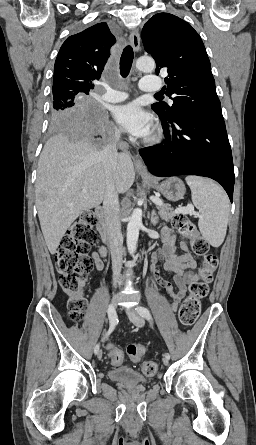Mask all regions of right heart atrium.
Returning a JSON list of instances; mask_svg holds the SVG:
<instances>
[{
    "mask_svg": "<svg viewBox=\"0 0 256 445\" xmlns=\"http://www.w3.org/2000/svg\"><path fill=\"white\" fill-rule=\"evenodd\" d=\"M113 133H114V135L119 136L120 135V130L117 127H114Z\"/></svg>",
    "mask_w": 256,
    "mask_h": 445,
    "instance_id": "d8ad5b80",
    "label": "right heart atrium"
}]
</instances>
